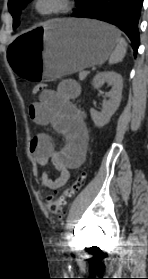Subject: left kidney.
I'll return each instance as SVG.
<instances>
[{"mask_svg":"<svg viewBox=\"0 0 148 279\" xmlns=\"http://www.w3.org/2000/svg\"><path fill=\"white\" fill-rule=\"evenodd\" d=\"M104 83L112 85V89L106 93L109 100H104L102 111L97 112L94 109L90 110L91 118L98 128L104 127L109 123L110 118L116 112L122 99L123 79L122 76L114 71L102 72L93 80V86L99 88Z\"/></svg>","mask_w":148,"mask_h":279,"instance_id":"1","label":"left kidney"}]
</instances>
